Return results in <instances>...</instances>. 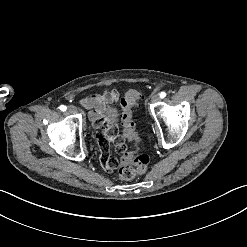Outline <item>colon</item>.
Masks as SVG:
<instances>
[{
  "label": "colon",
  "instance_id": "obj_1",
  "mask_svg": "<svg viewBox=\"0 0 247 247\" xmlns=\"http://www.w3.org/2000/svg\"><path fill=\"white\" fill-rule=\"evenodd\" d=\"M140 99V93L136 90L128 91L120 100L123 114L122 121L124 126V137L127 139L134 148L137 149L139 143V136L134 127L132 121V104ZM149 156L136 155V152L129 150L123 153L120 159L122 165H130L129 171H123L119 169V173L114 174L115 180L123 179H134L137 176L143 174L149 164Z\"/></svg>",
  "mask_w": 247,
  "mask_h": 247
}]
</instances>
